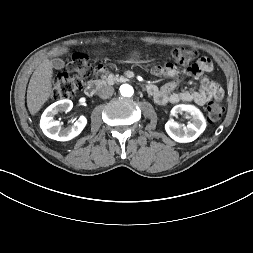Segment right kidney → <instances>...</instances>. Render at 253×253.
<instances>
[{
    "label": "right kidney",
    "mask_w": 253,
    "mask_h": 253,
    "mask_svg": "<svg viewBox=\"0 0 253 253\" xmlns=\"http://www.w3.org/2000/svg\"><path fill=\"white\" fill-rule=\"evenodd\" d=\"M72 107V101L64 99L51 104L43 112L40 120V128L47 137L57 141H68L82 132L87 124L85 116H80L72 126L66 128H62L60 123L54 120L56 114L59 112H68Z\"/></svg>",
    "instance_id": "right-kidney-1"
}]
</instances>
